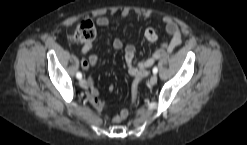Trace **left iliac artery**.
Masks as SVG:
<instances>
[{
  "mask_svg": "<svg viewBox=\"0 0 247 145\" xmlns=\"http://www.w3.org/2000/svg\"><path fill=\"white\" fill-rule=\"evenodd\" d=\"M152 71H153L154 74H157L158 68L157 67H154Z\"/></svg>",
  "mask_w": 247,
  "mask_h": 145,
  "instance_id": "44dca946",
  "label": "left iliac artery"
}]
</instances>
